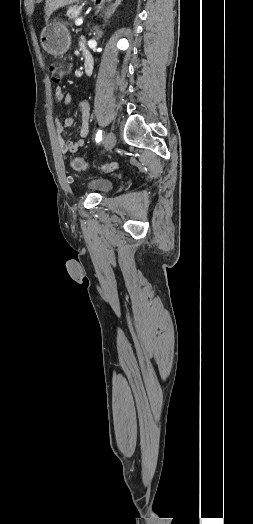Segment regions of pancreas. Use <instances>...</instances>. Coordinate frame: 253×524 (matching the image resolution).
Segmentation results:
<instances>
[{
	"label": "pancreas",
	"mask_w": 253,
	"mask_h": 524,
	"mask_svg": "<svg viewBox=\"0 0 253 524\" xmlns=\"http://www.w3.org/2000/svg\"><path fill=\"white\" fill-rule=\"evenodd\" d=\"M81 12H82V6L73 5L69 7L67 11V16L69 17V19H76L77 17L80 16Z\"/></svg>",
	"instance_id": "pancreas-1"
}]
</instances>
